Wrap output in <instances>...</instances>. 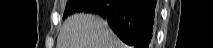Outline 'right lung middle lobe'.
I'll return each mask as SVG.
<instances>
[{
  "instance_id": "right-lung-middle-lobe-1",
  "label": "right lung middle lobe",
  "mask_w": 213,
  "mask_h": 48,
  "mask_svg": "<svg viewBox=\"0 0 213 48\" xmlns=\"http://www.w3.org/2000/svg\"><path fill=\"white\" fill-rule=\"evenodd\" d=\"M89 0H68L63 18L76 12H82Z\"/></svg>"
}]
</instances>
